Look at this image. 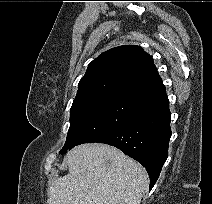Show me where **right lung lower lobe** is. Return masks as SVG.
<instances>
[{
    "label": "right lung lower lobe",
    "instance_id": "right-lung-lower-lobe-1",
    "mask_svg": "<svg viewBox=\"0 0 212 204\" xmlns=\"http://www.w3.org/2000/svg\"><path fill=\"white\" fill-rule=\"evenodd\" d=\"M171 137L169 101L166 93L146 102L127 122L97 143L117 147L144 166L150 190L168 156Z\"/></svg>",
    "mask_w": 212,
    "mask_h": 204
}]
</instances>
